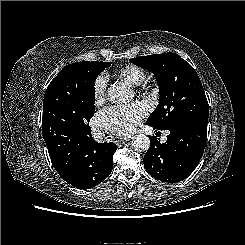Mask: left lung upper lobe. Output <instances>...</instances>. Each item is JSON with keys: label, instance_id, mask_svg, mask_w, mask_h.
<instances>
[{"label": "left lung upper lobe", "instance_id": "5c2ea615", "mask_svg": "<svg viewBox=\"0 0 245 245\" xmlns=\"http://www.w3.org/2000/svg\"><path fill=\"white\" fill-rule=\"evenodd\" d=\"M130 61L151 71L159 85V104L146 124L167 130L194 118L208 120L209 106L202 83L194 68L179 55H147Z\"/></svg>", "mask_w": 245, "mask_h": 245}]
</instances>
